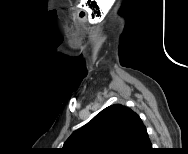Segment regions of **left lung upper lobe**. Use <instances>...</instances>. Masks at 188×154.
Returning <instances> with one entry per match:
<instances>
[{"mask_svg": "<svg viewBox=\"0 0 188 154\" xmlns=\"http://www.w3.org/2000/svg\"><path fill=\"white\" fill-rule=\"evenodd\" d=\"M135 114L121 104L108 106L74 131L62 150L68 154H126Z\"/></svg>", "mask_w": 188, "mask_h": 154, "instance_id": "5c2ea615", "label": "left lung upper lobe"}]
</instances>
